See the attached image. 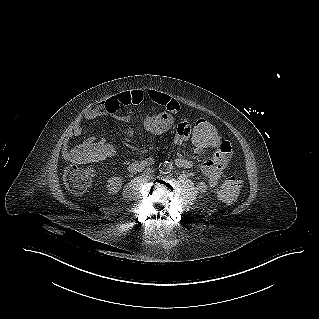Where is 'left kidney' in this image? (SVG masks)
<instances>
[{"label": "left kidney", "instance_id": "1", "mask_svg": "<svg viewBox=\"0 0 319 319\" xmlns=\"http://www.w3.org/2000/svg\"><path fill=\"white\" fill-rule=\"evenodd\" d=\"M198 189L202 192H205L206 191V185L204 182H199L198 183Z\"/></svg>", "mask_w": 319, "mask_h": 319}]
</instances>
